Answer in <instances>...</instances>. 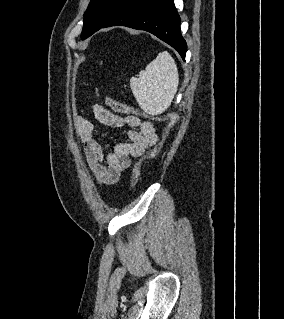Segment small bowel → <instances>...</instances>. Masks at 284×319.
I'll list each match as a JSON object with an SVG mask.
<instances>
[{"label":"small bowel","instance_id":"small-bowel-1","mask_svg":"<svg viewBox=\"0 0 284 319\" xmlns=\"http://www.w3.org/2000/svg\"><path fill=\"white\" fill-rule=\"evenodd\" d=\"M94 118L101 124L123 128L129 127V141L118 143L105 150L98 141L94 125L82 116L74 121L75 131L83 145L88 168L99 185L116 184L123 172L129 169L131 159L141 157L153 147L158 139L154 124L129 115L121 117L100 105H93Z\"/></svg>","mask_w":284,"mask_h":319}]
</instances>
